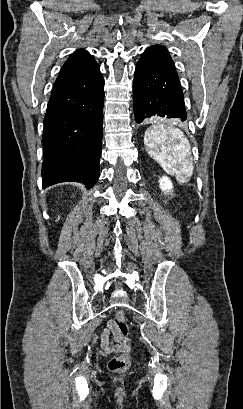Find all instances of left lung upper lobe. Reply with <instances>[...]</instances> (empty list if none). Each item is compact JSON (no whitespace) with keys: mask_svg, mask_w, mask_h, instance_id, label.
<instances>
[{"mask_svg":"<svg viewBox=\"0 0 243 409\" xmlns=\"http://www.w3.org/2000/svg\"><path fill=\"white\" fill-rule=\"evenodd\" d=\"M139 62L156 65L176 72L174 62L164 46L154 45L148 47L142 54Z\"/></svg>","mask_w":243,"mask_h":409,"instance_id":"left-lung-upper-lobe-1","label":"left lung upper lobe"}]
</instances>
